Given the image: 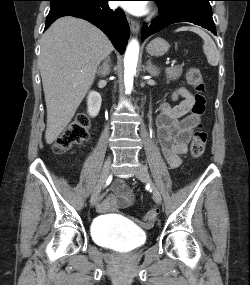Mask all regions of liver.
<instances>
[{"mask_svg":"<svg viewBox=\"0 0 250 285\" xmlns=\"http://www.w3.org/2000/svg\"><path fill=\"white\" fill-rule=\"evenodd\" d=\"M112 51L103 32L74 17L58 19L44 33L39 68L47 108V144L69 124L93 84L97 67Z\"/></svg>","mask_w":250,"mask_h":285,"instance_id":"liver-1","label":"liver"}]
</instances>
